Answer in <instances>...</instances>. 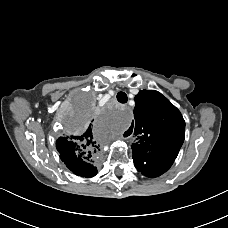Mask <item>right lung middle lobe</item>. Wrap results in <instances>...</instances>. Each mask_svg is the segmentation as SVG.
Wrapping results in <instances>:
<instances>
[{"label":"right lung middle lobe","instance_id":"obj_1","mask_svg":"<svg viewBox=\"0 0 228 228\" xmlns=\"http://www.w3.org/2000/svg\"><path fill=\"white\" fill-rule=\"evenodd\" d=\"M93 115V106L91 101L85 97H81L77 103L75 114L71 116L76 124L77 129H81L89 123Z\"/></svg>","mask_w":228,"mask_h":228}]
</instances>
